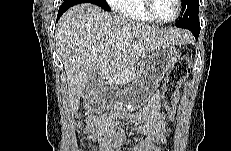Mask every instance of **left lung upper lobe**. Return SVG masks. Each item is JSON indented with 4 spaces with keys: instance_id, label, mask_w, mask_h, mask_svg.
<instances>
[{
    "instance_id": "5c2ea615",
    "label": "left lung upper lobe",
    "mask_w": 231,
    "mask_h": 151,
    "mask_svg": "<svg viewBox=\"0 0 231 151\" xmlns=\"http://www.w3.org/2000/svg\"><path fill=\"white\" fill-rule=\"evenodd\" d=\"M199 0H182V14L176 26L188 30L199 29Z\"/></svg>"
}]
</instances>
